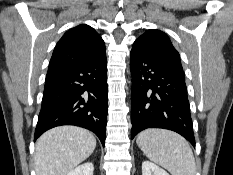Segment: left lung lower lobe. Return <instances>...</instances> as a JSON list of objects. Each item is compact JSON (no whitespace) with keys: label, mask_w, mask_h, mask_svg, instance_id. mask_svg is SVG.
Here are the masks:
<instances>
[{"label":"left lung lower lobe","mask_w":233,"mask_h":175,"mask_svg":"<svg viewBox=\"0 0 233 175\" xmlns=\"http://www.w3.org/2000/svg\"><path fill=\"white\" fill-rule=\"evenodd\" d=\"M130 69L131 138L147 128H163L179 133L195 147L184 71L136 44L130 52Z\"/></svg>","instance_id":"left-lung-lower-lobe-1"}]
</instances>
